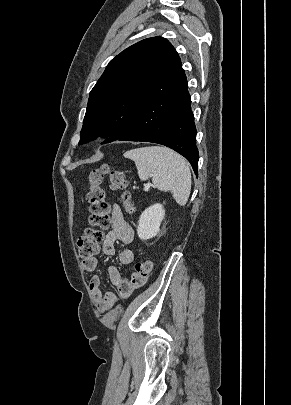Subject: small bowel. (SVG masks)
<instances>
[{"mask_svg":"<svg viewBox=\"0 0 291 405\" xmlns=\"http://www.w3.org/2000/svg\"><path fill=\"white\" fill-rule=\"evenodd\" d=\"M111 229L106 234L102 243V252L111 256L115 252V244L120 241L124 244H130L134 240V231L129 223L125 220L121 208L118 204L111 205L110 216ZM134 260V252L130 249H124L119 253V261L123 265L131 264ZM97 259L90 258L82 261L83 269L87 272H93L97 268ZM108 276L112 285H114L121 297H128L134 289L144 283V279H138L133 273L129 279H123L119 269L116 266L108 268ZM94 304L100 312H105L116 301L115 293L111 291L103 292L101 290V279L98 275L91 277L89 282Z\"/></svg>","mask_w":291,"mask_h":405,"instance_id":"c3829d8e","label":"small bowel"}]
</instances>
